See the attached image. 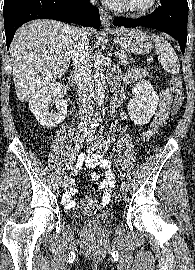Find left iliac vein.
Here are the masks:
<instances>
[{
  "mask_svg": "<svg viewBox=\"0 0 195 270\" xmlns=\"http://www.w3.org/2000/svg\"><path fill=\"white\" fill-rule=\"evenodd\" d=\"M87 144L89 145V148L91 149H100L102 147V140L101 138L95 134V131L94 130H91L89 133H88V136H87ZM120 190L122 192L123 195H126L127 194V191H128V185L126 182L122 181L121 185H120Z\"/></svg>",
  "mask_w": 195,
  "mask_h": 270,
  "instance_id": "obj_1",
  "label": "left iliac vein"
}]
</instances>
